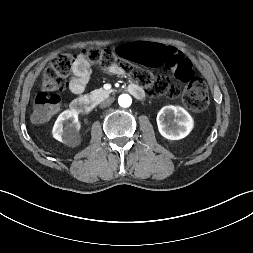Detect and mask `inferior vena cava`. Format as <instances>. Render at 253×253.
I'll list each match as a JSON object with an SVG mask.
<instances>
[{
    "label": "inferior vena cava",
    "mask_w": 253,
    "mask_h": 253,
    "mask_svg": "<svg viewBox=\"0 0 253 253\" xmlns=\"http://www.w3.org/2000/svg\"><path fill=\"white\" fill-rule=\"evenodd\" d=\"M112 102H113V99L112 98H108V99L102 101L99 106H100V108H105V107L110 106V104Z\"/></svg>",
    "instance_id": "602c4592"
}]
</instances>
